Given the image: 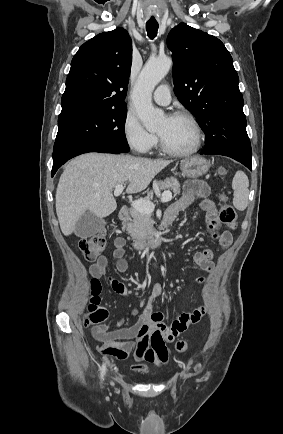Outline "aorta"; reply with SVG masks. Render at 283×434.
Segmentation results:
<instances>
[{
	"label": "aorta",
	"mask_w": 283,
	"mask_h": 434,
	"mask_svg": "<svg viewBox=\"0 0 283 434\" xmlns=\"http://www.w3.org/2000/svg\"><path fill=\"white\" fill-rule=\"evenodd\" d=\"M172 66L169 57L151 58L144 65L132 92L135 111L148 131L156 130L164 113L154 108L152 92L156 85L166 76Z\"/></svg>",
	"instance_id": "obj_1"
}]
</instances>
